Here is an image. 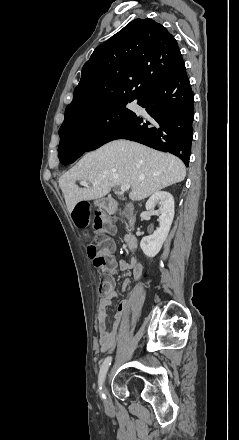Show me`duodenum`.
I'll return each instance as SVG.
<instances>
[{
    "mask_svg": "<svg viewBox=\"0 0 239 440\" xmlns=\"http://www.w3.org/2000/svg\"><path fill=\"white\" fill-rule=\"evenodd\" d=\"M100 206L102 209L108 213H113L116 208L115 202L110 198H103L100 200ZM135 222L134 216H130L128 220V229L131 230ZM127 246L129 249H134L136 247V238L133 234L128 233L125 237Z\"/></svg>",
    "mask_w": 239,
    "mask_h": 440,
    "instance_id": "duodenum-1",
    "label": "duodenum"
}]
</instances>
